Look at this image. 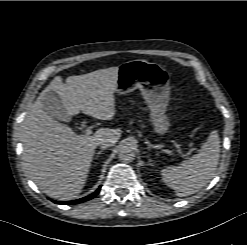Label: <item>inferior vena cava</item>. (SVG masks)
Here are the masks:
<instances>
[{"label":"inferior vena cava","mask_w":247,"mask_h":245,"mask_svg":"<svg viewBox=\"0 0 247 245\" xmlns=\"http://www.w3.org/2000/svg\"><path fill=\"white\" fill-rule=\"evenodd\" d=\"M110 145H111L110 141H108V140H103V141L99 142V146L101 147V149H106Z\"/></svg>","instance_id":"inferior-vena-cava-1"}]
</instances>
